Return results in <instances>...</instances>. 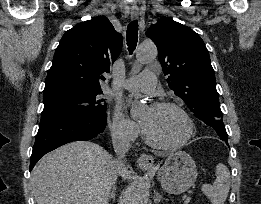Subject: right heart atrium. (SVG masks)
Returning a JSON list of instances; mask_svg holds the SVG:
<instances>
[{
  "instance_id": "obj_1",
  "label": "right heart atrium",
  "mask_w": 261,
  "mask_h": 204,
  "mask_svg": "<svg viewBox=\"0 0 261 204\" xmlns=\"http://www.w3.org/2000/svg\"><path fill=\"white\" fill-rule=\"evenodd\" d=\"M110 131L113 137L125 142L136 140L140 134L139 126L130 120L119 108H116L112 115Z\"/></svg>"
}]
</instances>
